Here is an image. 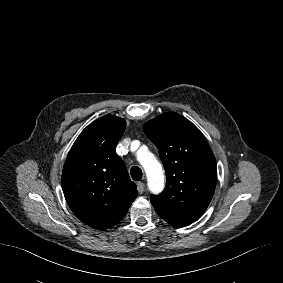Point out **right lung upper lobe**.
I'll list each match as a JSON object with an SVG mask.
<instances>
[{
	"label": "right lung upper lobe",
	"instance_id": "cb5924a9",
	"mask_svg": "<svg viewBox=\"0 0 283 283\" xmlns=\"http://www.w3.org/2000/svg\"><path fill=\"white\" fill-rule=\"evenodd\" d=\"M126 121L103 116L73 144L62 172V188L73 213L85 224L106 230L125 216L138 192L115 148Z\"/></svg>",
	"mask_w": 283,
	"mask_h": 283
}]
</instances>
